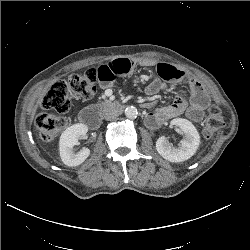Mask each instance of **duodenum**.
Listing matches in <instances>:
<instances>
[{
	"instance_id": "duodenum-1",
	"label": "duodenum",
	"mask_w": 250,
	"mask_h": 250,
	"mask_svg": "<svg viewBox=\"0 0 250 250\" xmlns=\"http://www.w3.org/2000/svg\"><path fill=\"white\" fill-rule=\"evenodd\" d=\"M123 110L124 105L119 102L100 103L82 110L80 120L91 129H95L99 126L101 114L104 111L122 112Z\"/></svg>"
}]
</instances>
